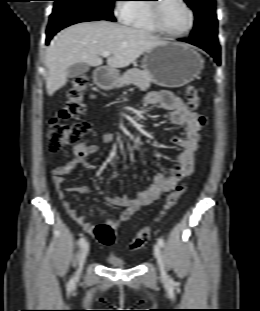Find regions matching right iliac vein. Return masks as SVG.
Here are the masks:
<instances>
[{
  "label": "right iliac vein",
  "instance_id": "right-iliac-vein-1",
  "mask_svg": "<svg viewBox=\"0 0 260 311\" xmlns=\"http://www.w3.org/2000/svg\"><path fill=\"white\" fill-rule=\"evenodd\" d=\"M88 252H89V244H88V242H85L82 245L81 250H80V254H79V268L77 271L78 275L81 273V270H82L83 264L87 258Z\"/></svg>",
  "mask_w": 260,
  "mask_h": 311
}]
</instances>
